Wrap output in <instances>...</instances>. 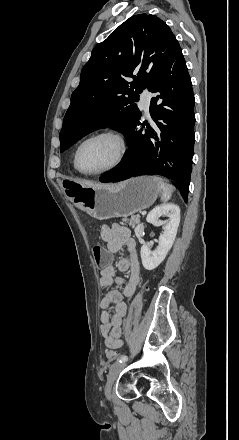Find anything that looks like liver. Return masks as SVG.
<instances>
[{
  "label": "liver",
  "mask_w": 239,
  "mask_h": 440,
  "mask_svg": "<svg viewBox=\"0 0 239 440\" xmlns=\"http://www.w3.org/2000/svg\"><path fill=\"white\" fill-rule=\"evenodd\" d=\"M76 184H82V186H88V188H103L104 184H92V182H87V180H73Z\"/></svg>",
  "instance_id": "obj_1"
}]
</instances>
